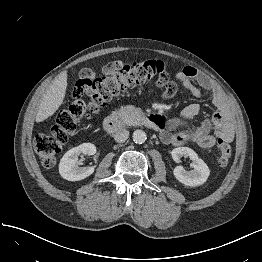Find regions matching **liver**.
<instances>
[{
  "label": "liver",
  "mask_w": 262,
  "mask_h": 262,
  "mask_svg": "<svg viewBox=\"0 0 262 262\" xmlns=\"http://www.w3.org/2000/svg\"><path fill=\"white\" fill-rule=\"evenodd\" d=\"M67 88V72L60 73L46 91L36 115V122L52 116L62 104Z\"/></svg>",
  "instance_id": "6515ba94"
}]
</instances>
